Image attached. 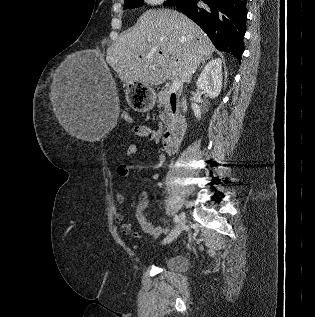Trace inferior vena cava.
I'll list each match as a JSON object with an SVG mask.
<instances>
[{
    "label": "inferior vena cava",
    "mask_w": 315,
    "mask_h": 317,
    "mask_svg": "<svg viewBox=\"0 0 315 317\" xmlns=\"http://www.w3.org/2000/svg\"><path fill=\"white\" fill-rule=\"evenodd\" d=\"M191 77H192V73L187 77V79H186L187 83L190 82Z\"/></svg>",
    "instance_id": "obj_1"
}]
</instances>
